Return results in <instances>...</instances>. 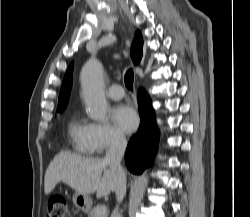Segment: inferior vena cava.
Segmentation results:
<instances>
[{
	"mask_svg": "<svg viewBox=\"0 0 250 217\" xmlns=\"http://www.w3.org/2000/svg\"><path fill=\"white\" fill-rule=\"evenodd\" d=\"M127 146L126 138L122 134H115L112 137L110 147L103 159V162L110 168L111 173L116 178V198L117 202H122L126 194V174L121 166V160ZM118 206L114 210V217H117Z\"/></svg>",
	"mask_w": 250,
	"mask_h": 217,
	"instance_id": "inferior-vena-cava-1",
	"label": "inferior vena cava"
}]
</instances>
